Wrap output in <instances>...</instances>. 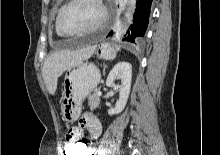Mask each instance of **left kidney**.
<instances>
[{"instance_id": "left-kidney-1", "label": "left kidney", "mask_w": 220, "mask_h": 155, "mask_svg": "<svg viewBox=\"0 0 220 155\" xmlns=\"http://www.w3.org/2000/svg\"><path fill=\"white\" fill-rule=\"evenodd\" d=\"M121 80V85L117 86L119 90V100L114 108L108 110L110 116L119 114L125 108L131 89L132 66L129 62H118L110 71L106 86L115 87L114 81Z\"/></svg>"}]
</instances>
